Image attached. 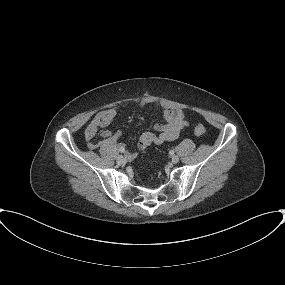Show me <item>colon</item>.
I'll use <instances>...</instances> for the list:
<instances>
[{
  "label": "colon",
  "mask_w": 285,
  "mask_h": 285,
  "mask_svg": "<svg viewBox=\"0 0 285 285\" xmlns=\"http://www.w3.org/2000/svg\"><path fill=\"white\" fill-rule=\"evenodd\" d=\"M205 133H206V130L202 125L199 124L195 127V134L197 136H203L205 135Z\"/></svg>",
  "instance_id": "1"
}]
</instances>
